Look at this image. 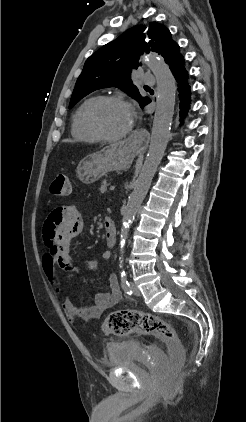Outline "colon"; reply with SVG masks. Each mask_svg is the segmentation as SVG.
<instances>
[{
	"label": "colon",
	"instance_id": "colon-1",
	"mask_svg": "<svg viewBox=\"0 0 246 422\" xmlns=\"http://www.w3.org/2000/svg\"><path fill=\"white\" fill-rule=\"evenodd\" d=\"M70 190V180L65 174H58L50 185V192L55 196H66ZM102 330L106 335L142 333L154 336L168 347L173 365H179L183 361L184 349L178 335L161 317L134 310L114 311L106 317Z\"/></svg>",
	"mask_w": 246,
	"mask_h": 422
}]
</instances>
